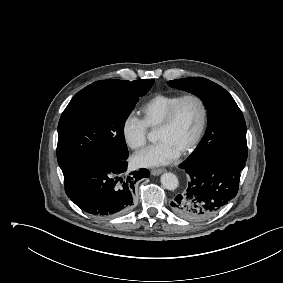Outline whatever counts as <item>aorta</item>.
Listing matches in <instances>:
<instances>
[{"label": "aorta", "instance_id": "762f6f07", "mask_svg": "<svg viewBox=\"0 0 283 283\" xmlns=\"http://www.w3.org/2000/svg\"><path fill=\"white\" fill-rule=\"evenodd\" d=\"M149 140H153V135L149 134L148 136ZM161 184L167 189V190H175L178 187V178L173 173H164L161 176Z\"/></svg>", "mask_w": 283, "mask_h": 283}]
</instances>
